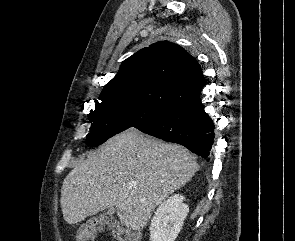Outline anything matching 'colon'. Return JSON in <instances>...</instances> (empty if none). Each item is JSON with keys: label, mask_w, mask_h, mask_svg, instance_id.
I'll return each instance as SVG.
<instances>
[{"label": "colon", "mask_w": 295, "mask_h": 241, "mask_svg": "<svg viewBox=\"0 0 295 241\" xmlns=\"http://www.w3.org/2000/svg\"><path fill=\"white\" fill-rule=\"evenodd\" d=\"M111 227H112L114 237L118 241H137L134 234L130 230L122 226L121 224L115 222V223H112ZM92 234H93V231H81L80 238L83 241L88 240Z\"/></svg>", "instance_id": "colon-1"}]
</instances>
